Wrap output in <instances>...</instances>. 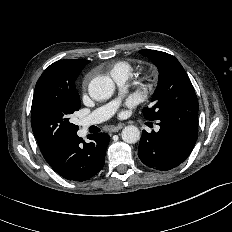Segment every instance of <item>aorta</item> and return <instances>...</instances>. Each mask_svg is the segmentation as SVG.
Returning a JSON list of instances; mask_svg holds the SVG:
<instances>
[{"instance_id": "762f6f07", "label": "aorta", "mask_w": 232, "mask_h": 232, "mask_svg": "<svg viewBox=\"0 0 232 232\" xmlns=\"http://www.w3.org/2000/svg\"><path fill=\"white\" fill-rule=\"evenodd\" d=\"M115 90V84L110 77L97 76L88 86V92L92 99L100 101L109 99ZM124 142L134 144L140 139V131L136 126H126L121 133Z\"/></svg>"}]
</instances>
